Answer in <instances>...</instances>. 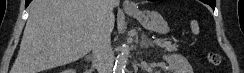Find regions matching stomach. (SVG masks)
<instances>
[{
	"instance_id": "0dacf381",
	"label": "stomach",
	"mask_w": 244,
	"mask_h": 73,
	"mask_svg": "<svg viewBox=\"0 0 244 73\" xmlns=\"http://www.w3.org/2000/svg\"><path fill=\"white\" fill-rule=\"evenodd\" d=\"M127 13L134 16L145 29L151 32L167 34L170 31L167 21L158 12L135 10Z\"/></svg>"
}]
</instances>
